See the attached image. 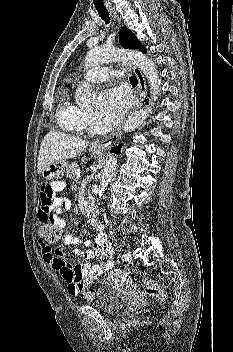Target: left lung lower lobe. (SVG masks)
<instances>
[{
    "label": "left lung lower lobe",
    "mask_w": 233,
    "mask_h": 352,
    "mask_svg": "<svg viewBox=\"0 0 233 352\" xmlns=\"http://www.w3.org/2000/svg\"><path fill=\"white\" fill-rule=\"evenodd\" d=\"M119 149H120V146L114 147V148H112L111 152L118 153Z\"/></svg>",
    "instance_id": "left-lung-lower-lobe-1"
}]
</instances>
